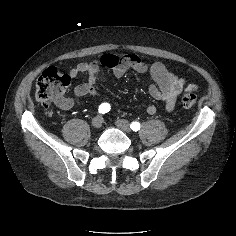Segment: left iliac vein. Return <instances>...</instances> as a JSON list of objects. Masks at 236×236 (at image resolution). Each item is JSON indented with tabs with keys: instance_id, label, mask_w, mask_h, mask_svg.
I'll list each match as a JSON object with an SVG mask.
<instances>
[{
	"instance_id": "1",
	"label": "left iliac vein",
	"mask_w": 236,
	"mask_h": 236,
	"mask_svg": "<svg viewBox=\"0 0 236 236\" xmlns=\"http://www.w3.org/2000/svg\"><path fill=\"white\" fill-rule=\"evenodd\" d=\"M116 125L119 129H121L122 131L126 132V133H130L131 129H130V124L127 120L124 119H118L116 121Z\"/></svg>"
}]
</instances>
